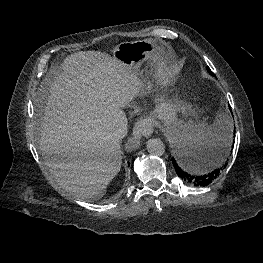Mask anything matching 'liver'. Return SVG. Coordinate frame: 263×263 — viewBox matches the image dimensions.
<instances>
[{"label":"liver","instance_id":"obj_1","mask_svg":"<svg viewBox=\"0 0 263 263\" xmlns=\"http://www.w3.org/2000/svg\"><path fill=\"white\" fill-rule=\"evenodd\" d=\"M62 70L42 81L49 95L40 150L66 191L103 196L122 165L120 143L110 137V126L126 118L121 108L145 94V85L129 66L98 51L71 54Z\"/></svg>","mask_w":263,"mask_h":263}]
</instances>
